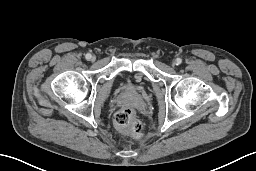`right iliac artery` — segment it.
<instances>
[{
  "mask_svg": "<svg viewBox=\"0 0 256 171\" xmlns=\"http://www.w3.org/2000/svg\"><path fill=\"white\" fill-rule=\"evenodd\" d=\"M85 58L87 59V60H89L90 58H91V54H86V56H85Z\"/></svg>",
  "mask_w": 256,
  "mask_h": 171,
  "instance_id": "right-iliac-artery-1",
  "label": "right iliac artery"
}]
</instances>
